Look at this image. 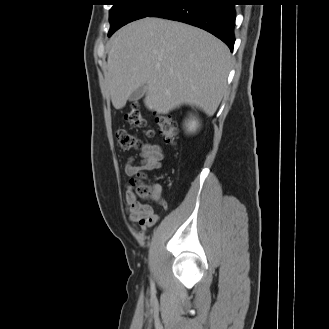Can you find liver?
I'll return each mask as SVG.
<instances>
[{
  "label": "liver",
  "mask_w": 329,
  "mask_h": 329,
  "mask_svg": "<svg viewBox=\"0 0 329 329\" xmlns=\"http://www.w3.org/2000/svg\"><path fill=\"white\" fill-rule=\"evenodd\" d=\"M106 83L115 109L146 86L145 106L159 114L188 104L212 116L227 87L231 54L210 33L185 23L144 18L109 41Z\"/></svg>",
  "instance_id": "obj_1"
}]
</instances>
